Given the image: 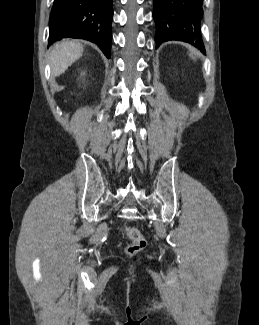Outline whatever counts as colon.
<instances>
[{
    "instance_id": "colon-1",
    "label": "colon",
    "mask_w": 259,
    "mask_h": 325,
    "mask_svg": "<svg viewBox=\"0 0 259 325\" xmlns=\"http://www.w3.org/2000/svg\"><path fill=\"white\" fill-rule=\"evenodd\" d=\"M125 236L130 241L126 248L129 255H136L146 246V240L139 230L134 227H126L124 229Z\"/></svg>"
}]
</instances>
